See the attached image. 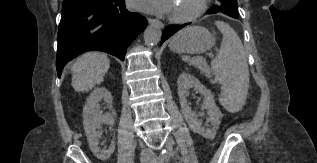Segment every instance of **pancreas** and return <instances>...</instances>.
Here are the masks:
<instances>
[{
	"mask_svg": "<svg viewBox=\"0 0 317 163\" xmlns=\"http://www.w3.org/2000/svg\"><path fill=\"white\" fill-rule=\"evenodd\" d=\"M198 61H196L195 63H193V65L197 68H199L202 71H207L208 72V67L206 66L204 61H201L199 59H196Z\"/></svg>",
	"mask_w": 317,
	"mask_h": 163,
	"instance_id": "1",
	"label": "pancreas"
}]
</instances>
